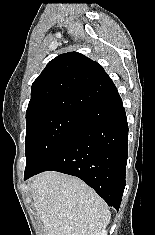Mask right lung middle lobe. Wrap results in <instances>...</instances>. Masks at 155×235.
Returning a JSON list of instances; mask_svg holds the SVG:
<instances>
[{
  "mask_svg": "<svg viewBox=\"0 0 155 235\" xmlns=\"http://www.w3.org/2000/svg\"><path fill=\"white\" fill-rule=\"evenodd\" d=\"M88 121L61 109H42L26 114L25 173L40 168Z\"/></svg>",
  "mask_w": 155,
  "mask_h": 235,
  "instance_id": "1",
  "label": "right lung middle lobe"
}]
</instances>
